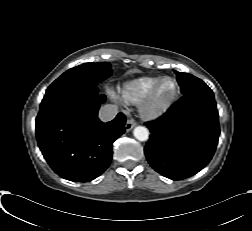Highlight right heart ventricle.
<instances>
[{"instance_id":"obj_1","label":"right heart ventricle","mask_w":252,"mask_h":231,"mask_svg":"<svg viewBox=\"0 0 252 231\" xmlns=\"http://www.w3.org/2000/svg\"><path fill=\"white\" fill-rule=\"evenodd\" d=\"M160 79L159 76H143L127 81L120 87L119 97L126 103L139 104Z\"/></svg>"}]
</instances>
